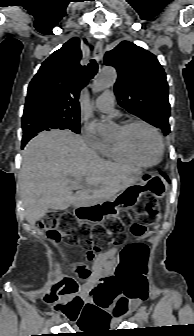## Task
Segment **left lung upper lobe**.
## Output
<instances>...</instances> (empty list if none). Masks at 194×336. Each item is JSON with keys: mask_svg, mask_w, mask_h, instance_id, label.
I'll use <instances>...</instances> for the list:
<instances>
[{"mask_svg": "<svg viewBox=\"0 0 194 336\" xmlns=\"http://www.w3.org/2000/svg\"><path fill=\"white\" fill-rule=\"evenodd\" d=\"M104 63L118 72L114 91L119 105L168 134V84L156 56L134 43L122 41L105 54Z\"/></svg>", "mask_w": 194, "mask_h": 336, "instance_id": "left-lung-upper-lobe-1", "label": "left lung upper lobe"}]
</instances>
